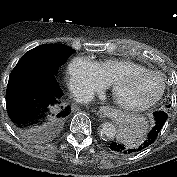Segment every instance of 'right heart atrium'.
<instances>
[{
  "instance_id": "1",
  "label": "right heart atrium",
  "mask_w": 177,
  "mask_h": 177,
  "mask_svg": "<svg viewBox=\"0 0 177 177\" xmlns=\"http://www.w3.org/2000/svg\"><path fill=\"white\" fill-rule=\"evenodd\" d=\"M68 75L70 88L78 95H92L107 85L95 63L85 57L78 56L71 60Z\"/></svg>"
}]
</instances>
